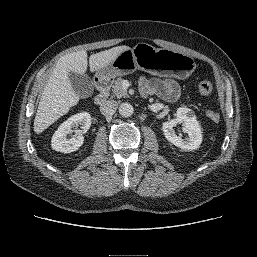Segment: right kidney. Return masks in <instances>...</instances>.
<instances>
[{"label":"right kidney","instance_id":"1","mask_svg":"<svg viewBox=\"0 0 257 257\" xmlns=\"http://www.w3.org/2000/svg\"><path fill=\"white\" fill-rule=\"evenodd\" d=\"M91 125V116L87 112L77 113L63 122L52 136L51 147L53 150L62 153H71L82 146L84 137ZM81 126V130H76V135L68 138L73 127Z\"/></svg>","mask_w":257,"mask_h":257}]
</instances>
